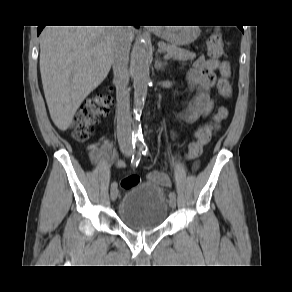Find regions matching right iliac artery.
<instances>
[{
    "label": "right iliac artery",
    "instance_id": "right-iliac-artery-1",
    "mask_svg": "<svg viewBox=\"0 0 292 292\" xmlns=\"http://www.w3.org/2000/svg\"><path fill=\"white\" fill-rule=\"evenodd\" d=\"M141 156H142V150L141 148H135L133 155H132V159H131V165L133 167L137 166L141 160ZM111 189H117V183L113 182L111 184Z\"/></svg>",
    "mask_w": 292,
    "mask_h": 292
}]
</instances>
